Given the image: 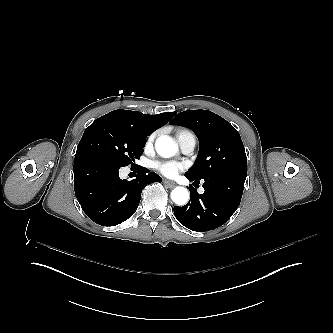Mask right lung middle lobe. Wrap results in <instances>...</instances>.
<instances>
[{
	"label": "right lung middle lobe",
	"mask_w": 333,
	"mask_h": 333,
	"mask_svg": "<svg viewBox=\"0 0 333 333\" xmlns=\"http://www.w3.org/2000/svg\"><path fill=\"white\" fill-rule=\"evenodd\" d=\"M145 144V135L110 119H96L86 128L77 152L96 153L118 167L133 166Z\"/></svg>",
	"instance_id": "1"
}]
</instances>
